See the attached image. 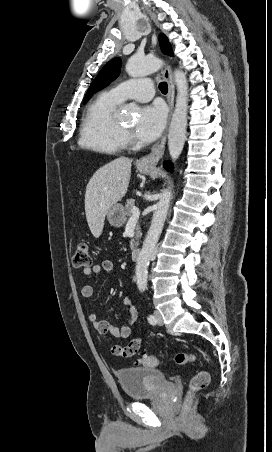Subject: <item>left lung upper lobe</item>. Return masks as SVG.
<instances>
[{
    "label": "left lung upper lobe",
    "mask_w": 272,
    "mask_h": 452,
    "mask_svg": "<svg viewBox=\"0 0 272 452\" xmlns=\"http://www.w3.org/2000/svg\"><path fill=\"white\" fill-rule=\"evenodd\" d=\"M159 42L163 53L172 55L170 43L164 34H160ZM121 63H122L121 59L119 57H116L110 60L101 69L97 77L91 83L84 98V103H86L94 93L109 85L119 76Z\"/></svg>",
    "instance_id": "1"
}]
</instances>
